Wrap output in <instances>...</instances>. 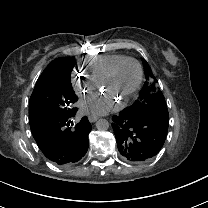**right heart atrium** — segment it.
<instances>
[{"mask_svg": "<svg viewBox=\"0 0 208 208\" xmlns=\"http://www.w3.org/2000/svg\"><path fill=\"white\" fill-rule=\"evenodd\" d=\"M70 83L74 93L80 98L93 97L97 89V83L90 75L78 73L75 69L71 72Z\"/></svg>", "mask_w": 208, "mask_h": 208, "instance_id": "1", "label": "right heart atrium"}]
</instances>
